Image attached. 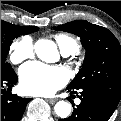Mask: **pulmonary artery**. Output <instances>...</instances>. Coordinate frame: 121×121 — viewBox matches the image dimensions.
Here are the masks:
<instances>
[{"instance_id":"pulmonary-artery-1","label":"pulmonary artery","mask_w":121,"mask_h":121,"mask_svg":"<svg viewBox=\"0 0 121 121\" xmlns=\"http://www.w3.org/2000/svg\"><path fill=\"white\" fill-rule=\"evenodd\" d=\"M72 52H69V51H63V54L65 55V56H68L69 54H71Z\"/></svg>"}]
</instances>
